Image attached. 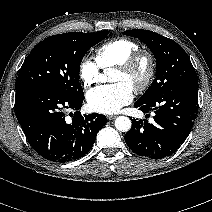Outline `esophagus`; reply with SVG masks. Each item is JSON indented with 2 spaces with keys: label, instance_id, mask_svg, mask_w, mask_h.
Segmentation results:
<instances>
[{
  "label": "esophagus",
  "instance_id": "esophagus-1",
  "mask_svg": "<svg viewBox=\"0 0 212 212\" xmlns=\"http://www.w3.org/2000/svg\"><path fill=\"white\" fill-rule=\"evenodd\" d=\"M107 118H108L109 120H113V119L116 118V115H108Z\"/></svg>",
  "mask_w": 212,
  "mask_h": 212
}]
</instances>
